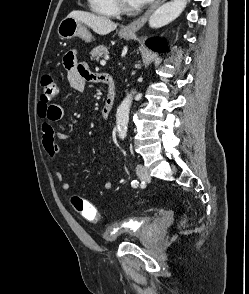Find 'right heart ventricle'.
Listing matches in <instances>:
<instances>
[{
	"mask_svg": "<svg viewBox=\"0 0 249 294\" xmlns=\"http://www.w3.org/2000/svg\"><path fill=\"white\" fill-rule=\"evenodd\" d=\"M88 5L91 11L101 16L115 17L119 14L114 0H88Z\"/></svg>",
	"mask_w": 249,
	"mask_h": 294,
	"instance_id": "1",
	"label": "right heart ventricle"
}]
</instances>
